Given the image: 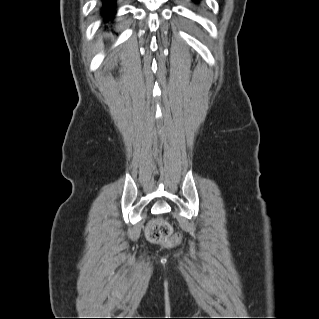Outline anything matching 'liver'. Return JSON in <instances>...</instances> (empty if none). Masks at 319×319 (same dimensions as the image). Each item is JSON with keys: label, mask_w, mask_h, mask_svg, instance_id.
<instances>
[{"label": "liver", "mask_w": 319, "mask_h": 319, "mask_svg": "<svg viewBox=\"0 0 319 319\" xmlns=\"http://www.w3.org/2000/svg\"><path fill=\"white\" fill-rule=\"evenodd\" d=\"M102 48H103L102 43H98V44L96 45L95 51L98 52V51H100Z\"/></svg>", "instance_id": "6515ba94"}]
</instances>
